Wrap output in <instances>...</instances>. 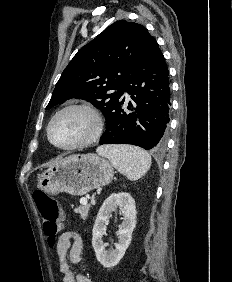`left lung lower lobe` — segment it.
<instances>
[{
	"mask_svg": "<svg viewBox=\"0 0 232 282\" xmlns=\"http://www.w3.org/2000/svg\"><path fill=\"white\" fill-rule=\"evenodd\" d=\"M127 92L131 113L122 110ZM169 71L156 40H150L142 58L122 83L120 98L106 116V131L100 144H132L144 149L160 150L167 143L170 121Z\"/></svg>",
	"mask_w": 232,
	"mask_h": 282,
	"instance_id": "1",
	"label": "left lung lower lobe"
}]
</instances>
